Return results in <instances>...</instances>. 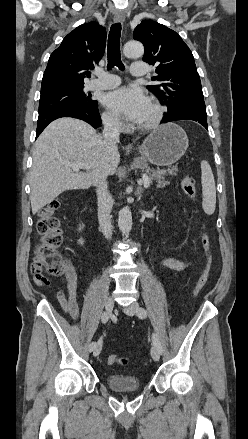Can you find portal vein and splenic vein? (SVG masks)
<instances>
[{"label":"portal vein and splenic vein","instance_id":"1","mask_svg":"<svg viewBox=\"0 0 248 439\" xmlns=\"http://www.w3.org/2000/svg\"><path fill=\"white\" fill-rule=\"evenodd\" d=\"M66 165L70 166L73 170H79V169L88 170L90 168L88 165L78 162H66ZM139 183L143 184L145 188L149 187L150 185L149 177L146 174H144L142 180Z\"/></svg>","mask_w":248,"mask_h":439}]
</instances>
